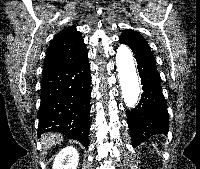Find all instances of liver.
<instances>
[{"label": "liver", "mask_w": 200, "mask_h": 169, "mask_svg": "<svg viewBox=\"0 0 200 169\" xmlns=\"http://www.w3.org/2000/svg\"><path fill=\"white\" fill-rule=\"evenodd\" d=\"M41 141L43 144V149L47 150L53 145H56L63 141V136L59 133H47L41 135Z\"/></svg>", "instance_id": "liver-1"}]
</instances>
